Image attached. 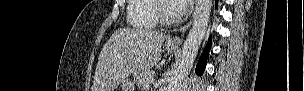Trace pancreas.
<instances>
[{"mask_svg":"<svg viewBox=\"0 0 304 91\" xmlns=\"http://www.w3.org/2000/svg\"><path fill=\"white\" fill-rule=\"evenodd\" d=\"M154 77L155 72L148 70L138 73L134 81L137 84L138 88L145 89V86L147 84L149 85L153 81Z\"/></svg>","mask_w":304,"mask_h":91,"instance_id":"pancreas-1","label":"pancreas"}]
</instances>
